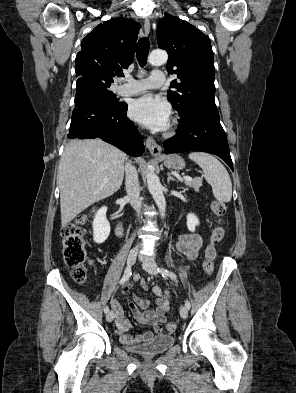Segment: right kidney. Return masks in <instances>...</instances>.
I'll list each match as a JSON object with an SVG mask.
<instances>
[{
	"label": "right kidney",
	"instance_id": "ca27d5eb",
	"mask_svg": "<svg viewBox=\"0 0 296 393\" xmlns=\"http://www.w3.org/2000/svg\"><path fill=\"white\" fill-rule=\"evenodd\" d=\"M107 207L103 206L93 220V239L96 243H103L109 236L111 228L106 218Z\"/></svg>",
	"mask_w": 296,
	"mask_h": 393
}]
</instances>
